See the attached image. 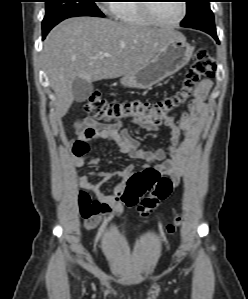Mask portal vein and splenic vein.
I'll return each instance as SVG.
<instances>
[{"instance_id": "portal-vein-and-splenic-vein-1", "label": "portal vein and splenic vein", "mask_w": 248, "mask_h": 299, "mask_svg": "<svg viewBox=\"0 0 248 299\" xmlns=\"http://www.w3.org/2000/svg\"><path fill=\"white\" fill-rule=\"evenodd\" d=\"M100 56H101V57H108V56H110V54L107 53V52H105V53H102Z\"/></svg>"}]
</instances>
